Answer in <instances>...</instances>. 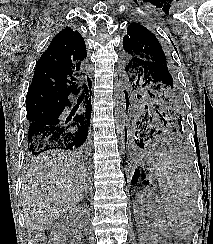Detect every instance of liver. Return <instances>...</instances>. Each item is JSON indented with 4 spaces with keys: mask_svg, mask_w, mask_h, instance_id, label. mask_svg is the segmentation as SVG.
<instances>
[{
    "mask_svg": "<svg viewBox=\"0 0 213 244\" xmlns=\"http://www.w3.org/2000/svg\"><path fill=\"white\" fill-rule=\"evenodd\" d=\"M86 187V167L76 153L54 150L35 157L20 193L30 239L36 242L59 216L72 210Z\"/></svg>",
    "mask_w": 213,
    "mask_h": 244,
    "instance_id": "6515ba94",
    "label": "liver"
}]
</instances>
